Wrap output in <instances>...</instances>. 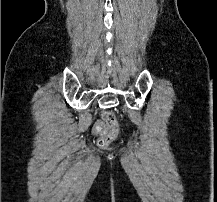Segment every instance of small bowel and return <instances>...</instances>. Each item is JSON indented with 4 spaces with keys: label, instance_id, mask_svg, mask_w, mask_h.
I'll return each mask as SVG.
<instances>
[{
    "label": "small bowel",
    "instance_id": "small-bowel-1",
    "mask_svg": "<svg viewBox=\"0 0 217 202\" xmlns=\"http://www.w3.org/2000/svg\"><path fill=\"white\" fill-rule=\"evenodd\" d=\"M92 132L95 136H104L107 133V127L103 121H96L93 125Z\"/></svg>",
    "mask_w": 217,
    "mask_h": 202
}]
</instances>
